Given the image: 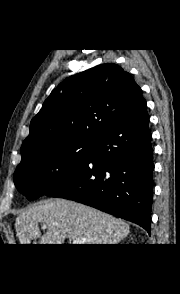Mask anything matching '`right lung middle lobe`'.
I'll return each mask as SVG.
<instances>
[{
  "mask_svg": "<svg viewBox=\"0 0 180 294\" xmlns=\"http://www.w3.org/2000/svg\"><path fill=\"white\" fill-rule=\"evenodd\" d=\"M94 142L74 141L45 147L18 165L14 183L29 200L47 195L88 159Z\"/></svg>",
  "mask_w": 180,
  "mask_h": 294,
  "instance_id": "right-lung-middle-lobe-1",
  "label": "right lung middle lobe"
}]
</instances>
